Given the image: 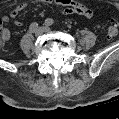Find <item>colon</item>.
<instances>
[{
  "instance_id": "5ec220e1",
  "label": "colon",
  "mask_w": 119,
  "mask_h": 119,
  "mask_svg": "<svg viewBox=\"0 0 119 119\" xmlns=\"http://www.w3.org/2000/svg\"><path fill=\"white\" fill-rule=\"evenodd\" d=\"M118 23L114 20H112L110 23H109V26H108V29H107V34H108V37L109 38H114L115 36H117L118 34ZM3 37V33H2V30L0 29V40L2 39Z\"/></svg>"
}]
</instances>
